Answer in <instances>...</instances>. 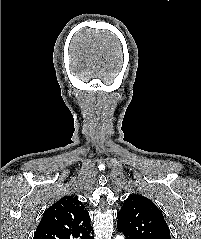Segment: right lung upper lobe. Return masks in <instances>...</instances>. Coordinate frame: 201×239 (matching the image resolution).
I'll return each mask as SVG.
<instances>
[{
    "instance_id": "right-lung-upper-lobe-1",
    "label": "right lung upper lobe",
    "mask_w": 201,
    "mask_h": 239,
    "mask_svg": "<svg viewBox=\"0 0 201 239\" xmlns=\"http://www.w3.org/2000/svg\"><path fill=\"white\" fill-rule=\"evenodd\" d=\"M89 220L78 196H65L44 212L34 239H93Z\"/></svg>"
}]
</instances>
